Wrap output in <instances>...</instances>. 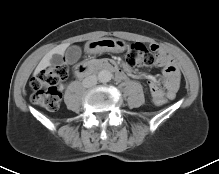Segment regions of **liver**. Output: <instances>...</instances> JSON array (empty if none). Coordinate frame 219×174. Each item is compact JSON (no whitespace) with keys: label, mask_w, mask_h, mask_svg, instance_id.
<instances>
[{"label":"liver","mask_w":219,"mask_h":174,"mask_svg":"<svg viewBox=\"0 0 219 174\" xmlns=\"http://www.w3.org/2000/svg\"><path fill=\"white\" fill-rule=\"evenodd\" d=\"M69 46V44H61L58 45L57 47H55L54 49H52L51 51H49L40 61V63L38 64V66L35 69V74H38L41 70L45 69L46 67L50 66V59L52 58V55L54 54H60L63 55L65 53V50L67 49V47Z\"/></svg>","instance_id":"obj_1"}]
</instances>
